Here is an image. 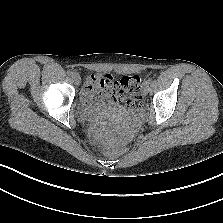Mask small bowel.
I'll list each match as a JSON object with an SVG mask.
<instances>
[{
  "label": "small bowel",
  "mask_w": 223,
  "mask_h": 223,
  "mask_svg": "<svg viewBox=\"0 0 223 223\" xmlns=\"http://www.w3.org/2000/svg\"><path fill=\"white\" fill-rule=\"evenodd\" d=\"M115 81L110 74L91 75L82 90V96L86 103L107 102L109 104H117L121 100V95L114 86ZM95 83H97L96 86Z\"/></svg>",
  "instance_id": "1"
}]
</instances>
